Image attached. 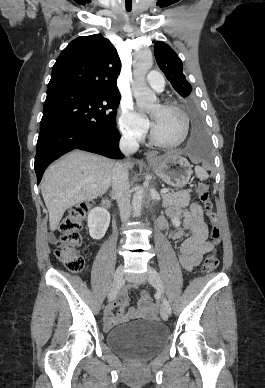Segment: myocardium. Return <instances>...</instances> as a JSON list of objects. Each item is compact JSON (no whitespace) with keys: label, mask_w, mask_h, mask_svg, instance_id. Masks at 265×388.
Segmentation results:
<instances>
[{"label":"myocardium","mask_w":265,"mask_h":388,"mask_svg":"<svg viewBox=\"0 0 265 388\" xmlns=\"http://www.w3.org/2000/svg\"><path fill=\"white\" fill-rule=\"evenodd\" d=\"M157 91L161 92L160 90H157ZM161 106L164 107L165 109H168V110H171V111L177 113L181 117V119H182L181 132H180V135L178 136L177 139L172 140V141L166 140L159 135V133L156 129L155 122H153L152 129H151L152 138L160 146L167 147V148L177 147V146L181 145L186 140V138L188 136L189 117L183 109H181L180 107H178L174 104L165 103V104H162Z\"/></svg>","instance_id":"myocardium-1"}]
</instances>
